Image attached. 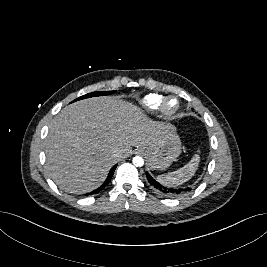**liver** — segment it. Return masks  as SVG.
<instances>
[{"mask_svg":"<svg viewBox=\"0 0 267 267\" xmlns=\"http://www.w3.org/2000/svg\"><path fill=\"white\" fill-rule=\"evenodd\" d=\"M165 125L138 106L115 97H95L63 108L52 120L45 141L50 177L74 194L99 187L110 168L132 153V147L158 143ZM120 149L119 157L113 151Z\"/></svg>","mask_w":267,"mask_h":267,"instance_id":"1","label":"liver"}]
</instances>
